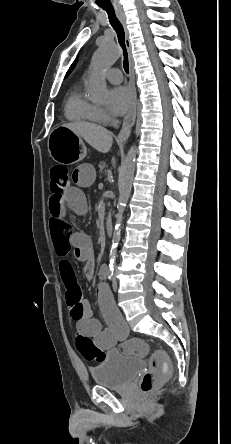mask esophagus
Returning <instances> with one entry per match:
<instances>
[{
	"label": "esophagus",
	"mask_w": 231,
	"mask_h": 444,
	"mask_svg": "<svg viewBox=\"0 0 231 444\" xmlns=\"http://www.w3.org/2000/svg\"><path fill=\"white\" fill-rule=\"evenodd\" d=\"M117 16L119 20L121 21L124 30H125V37H126V45H127V52H128V59H129V85L131 88V92L133 94V104L132 108L129 111V113L126 115V117L123 120L121 131L119 132L117 136V141L123 142L127 140L131 134L132 127L134 126L135 119H136V108H137V92L135 87V80H134V62L132 57V50H131V44L129 41V33L127 29L126 24V18L122 11H117Z\"/></svg>",
	"instance_id": "1"
}]
</instances>
